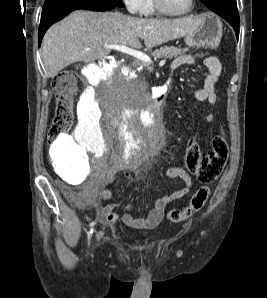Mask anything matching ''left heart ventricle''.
Here are the masks:
<instances>
[{
    "label": "left heart ventricle",
    "instance_id": "b2bd125f",
    "mask_svg": "<svg viewBox=\"0 0 267 298\" xmlns=\"http://www.w3.org/2000/svg\"><path fill=\"white\" fill-rule=\"evenodd\" d=\"M163 3L171 12L181 13L189 7L190 0H163Z\"/></svg>",
    "mask_w": 267,
    "mask_h": 298
}]
</instances>
